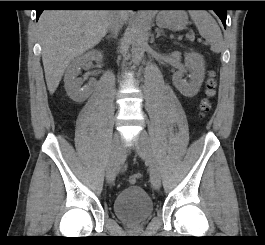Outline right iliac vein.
<instances>
[{
  "label": "right iliac vein",
  "instance_id": "63e3f726",
  "mask_svg": "<svg viewBox=\"0 0 265 245\" xmlns=\"http://www.w3.org/2000/svg\"><path fill=\"white\" fill-rule=\"evenodd\" d=\"M120 157V135L115 133L112 139L110 159L107 164L106 178L109 183L115 180L118 172Z\"/></svg>",
  "mask_w": 265,
  "mask_h": 245
}]
</instances>
